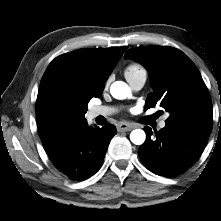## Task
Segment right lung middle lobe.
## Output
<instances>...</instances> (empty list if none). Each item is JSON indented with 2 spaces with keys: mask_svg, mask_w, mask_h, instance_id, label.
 I'll return each instance as SVG.
<instances>
[{
  "mask_svg": "<svg viewBox=\"0 0 221 221\" xmlns=\"http://www.w3.org/2000/svg\"><path fill=\"white\" fill-rule=\"evenodd\" d=\"M82 73L73 81L52 85L44 98L48 121L61 131H74L84 121L88 102L93 98L86 90Z\"/></svg>",
  "mask_w": 221,
  "mask_h": 221,
  "instance_id": "right-lung-middle-lobe-1",
  "label": "right lung middle lobe"
}]
</instances>
